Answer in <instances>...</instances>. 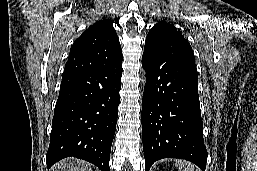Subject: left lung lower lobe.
<instances>
[{
	"mask_svg": "<svg viewBox=\"0 0 257 171\" xmlns=\"http://www.w3.org/2000/svg\"><path fill=\"white\" fill-rule=\"evenodd\" d=\"M146 84L142 101L145 171L162 158H181L205 171L196 66L169 53L144 51Z\"/></svg>",
	"mask_w": 257,
	"mask_h": 171,
	"instance_id": "0a47b994",
	"label": "left lung lower lobe"
}]
</instances>
